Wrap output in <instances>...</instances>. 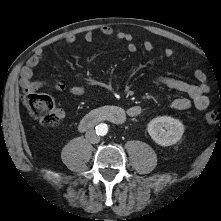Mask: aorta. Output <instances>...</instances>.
<instances>
[{
    "label": "aorta",
    "mask_w": 221,
    "mask_h": 221,
    "mask_svg": "<svg viewBox=\"0 0 221 221\" xmlns=\"http://www.w3.org/2000/svg\"><path fill=\"white\" fill-rule=\"evenodd\" d=\"M108 132V126L105 123H101L96 126V133L100 136L106 135Z\"/></svg>",
    "instance_id": "1"
}]
</instances>
